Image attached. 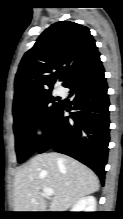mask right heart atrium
Listing matches in <instances>:
<instances>
[{"mask_svg": "<svg viewBox=\"0 0 123 219\" xmlns=\"http://www.w3.org/2000/svg\"><path fill=\"white\" fill-rule=\"evenodd\" d=\"M34 131L37 135H40L42 132V123L39 120H37L34 124Z\"/></svg>", "mask_w": 123, "mask_h": 219, "instance_id": "d8ad5b80", "label": "right heart atrium"}]
</instances>
